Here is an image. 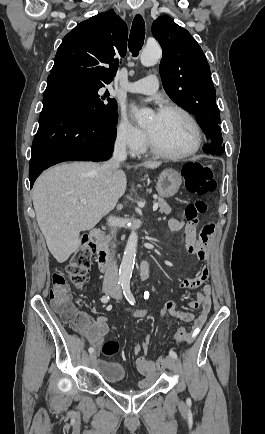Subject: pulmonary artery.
<instances>
[{
	"instance_id": "1",
	"label": "pulmonary artery",
	"mask_w": 265,
	"mask_h": 434,
	"mask_svg": "<svg viewBox=\"0 0 265 434\" xmlns=\"http://www.w3.org/2000/svg\"><path fill=\"white\" fill-rule=\"evenodd\" d=\"M156 75H148L140 81H125L122 83V88L132 93L149 94L154 90H158L159 83Z\"/></svg>"
}]
</instances>
